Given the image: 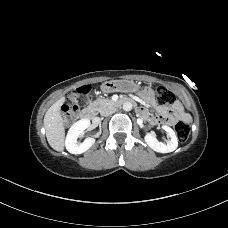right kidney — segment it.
I'll list each match as a JSON object with an SVG mask.
<instances>
[{"label": "right kidney", "instance_id": "obj_1", "mask_svg": "<svg viewBox=\"0 0 228 228\" xmlns=\"http://www.w3.org/2000/svg\"><path fill=\"white\" fill-rule=\"evenodd\" d=\"M90 124L89 119H81L70 127L65 140V146L69 153L82 154L95 143L93 137L86 138L82 143H78L77 141V138L90 126Z\"/></svg>", "mask_w": 228, "mask_h": 228}]
</instances>
